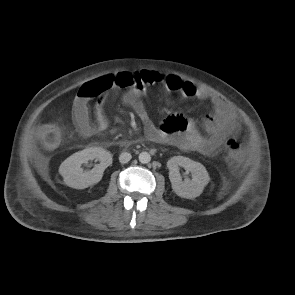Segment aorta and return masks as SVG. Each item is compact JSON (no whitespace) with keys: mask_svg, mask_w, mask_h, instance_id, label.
I'll return each mask as SVG.
<instances>
[{"mask_svg":"<svg viewBox=\"0 0 295 295\" xmlns=\"http://www.w3.org/2000/svg\"><path fill=\"white\" fill-rule=\"evenodd\" d=\"M151 160V156L148 152H141L139 154V161L142 163V164H146V163H149Z\"/></svg>","mask_w":295,"mask_h":295,"instance_id":"762f6f07","label":"aorta"}]
</instances>
